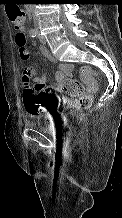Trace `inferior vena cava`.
<instances>
[{
  "mask_svg": "<svg viewBox=\"0 0 122 218\" xmlns=\"http://www.w3.org/2000/svg\"><path fill=\"white\" fill-rule=\"evenodd\" d=\"M33 21H34V25H35V27H37V23H38V21H37V17H36V16H33Z\"/></svg>",
  "mask_w": 122,
  "mask_h": 218,
  "instance_id": "obj_1",
  "label": "inferior vena cava"
}]
</instances>
